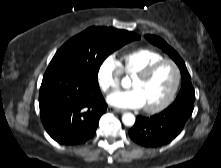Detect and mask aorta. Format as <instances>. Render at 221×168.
<instances>
[{
  "label": "aorta",
  "instance_id": "1",
  "mask_svg": "<svg viewBox=\"0 0 221 168\" xmlns=\"http://www.w3.org/2000/svg\"><path fill=\"white\" fill-rule=\"evenodd\" d=\"M122 122L126 126H132L135 123V116L132 113H124Z\"/></svg>",
  "mask_w": 221,
  "mask_h": 168
}]
</instances>
